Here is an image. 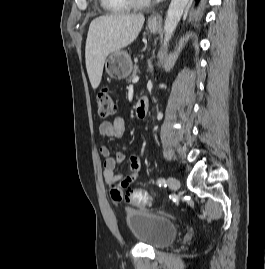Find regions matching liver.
<instances>
[{
    "label": "liver",
    "mask_w": 265,
    "mask_h": 269,
    "mask_svg": "<svg viewBox=\"0 0 265 269\" xmlns=\"http://www.w3.org/2000/svg\"><path fill=\"white\" fill-rule=\"evenodd\" d=\"M145 18L142 14L116 13L95 18L88 30L85 61L93 89L98 88L109 54L127 47L138 37Z\"/></svg>",
    "instance_id": "6515ba94"
}]
</instances>
